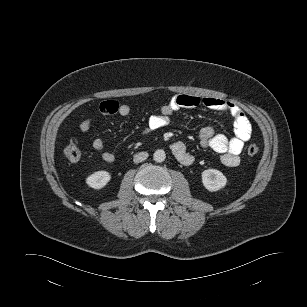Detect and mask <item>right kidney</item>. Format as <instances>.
Here are the masks:
<instances>
[{"label":"right kidney","mask_w":307,"mask_h":307,"mask_svg":"<svg viewBox=\"0 0 307 307\" xmlns=\"http://www.w3.org/2000/svg\"><path fill=\"white\" fill-rule=\"evenodd\" d=\"M111 175L107 171H97L86 178L88 186L94 189H101L110 181Z\"/></svg>","instance_id":"ca27d5eb"}]
</instances>
